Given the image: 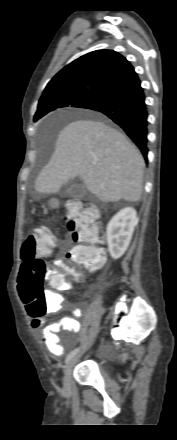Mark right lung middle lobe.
Wrapping results in <instances>:
<instances>
[{
    "instance_id": "obj_1",
    "label": "right lung middle lobe",
    "mask_w": 177,
    "mask_h": 440,
    "mask_svg": "<svg viewBox=\"0 0 177 440\" xmlns=\"http://www.w3.org/2000/svg\"><path fill=\"white\" fill-rule=\"evenodd\" d=\"M99 98H101L100 94L87 92L68 91L55 94L54 96L39 102L34 121H37L50 111L63 107L86 108Z\"/></svg>"
}]
</instances>
